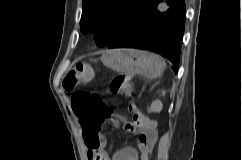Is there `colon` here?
<instances>
[{
  "mask_svg": "<svg viewBox=\"0 0 242 160\" xmlns=\"http://www.w3.org/2000/svg\"><path fill=\"white\" fill-rule=\"evenodd\" d=\"M94 77V70L89 64L78 63L66 75L63 80V87L66 91H75L82 84L90 82ZM110 92L128 96L131 93L130 77L117 75L110 83ZM71 106L73 112L80 117L82 126L92 134L88 138L89 145L93 146L96 138L93 136L100 131L101 124L111 116L112 111L104 100L96 93L86 91H75ZM130 111L141 113L135 106H130Z\"/></svg>",
  "mask_w": 242,
  "mask_h": 160,
  "instance_id": "colon-1",
  "label": "colon"
}]
</instances>
